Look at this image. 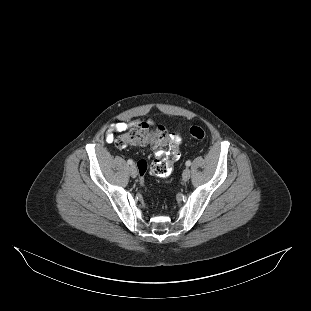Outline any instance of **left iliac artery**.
Returning a JSON list of instances; mask_svg holds the SVG:
<instances>
[{
    "mask_svg": "<svg viewBox=\"0 0 311 311\" xmlns=\"http://www.w3.org/2000/svg\"><path fill=\"white\" fill-rule=\"evenodd\" d=\"M185 164H186V166H190L191 165V161L188 160V161H186Z\"/></svg>",
    "mask_w": 311,
    "mask_h": 311,
    "instance_id": "left-iliac-artery-1",
    "label": "left iliac artery"
}]
</instances>
